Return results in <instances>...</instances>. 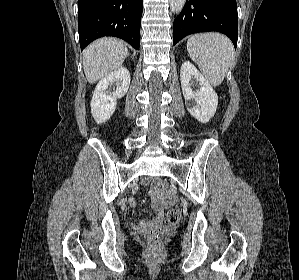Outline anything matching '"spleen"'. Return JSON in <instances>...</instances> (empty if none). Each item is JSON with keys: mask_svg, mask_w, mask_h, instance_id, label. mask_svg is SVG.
Here are the masks:
<instances>
[{"mask_svg": "<svg viewBox=\"0 0 299 280\" xmlns=\"http://www.w3.org/2000/svg\"><path fill=\"white\" fill-rule=\"evenodd\" d=\"M187 50L205 79L213 86L223 82L228 68L234 61L232 42L219 33L191 36L187 41Z\"/></svg>", "mask_w": 299, "mask_h": 280, "instance_id": "3e777b00", "label": "spleen"}]
</instances>
